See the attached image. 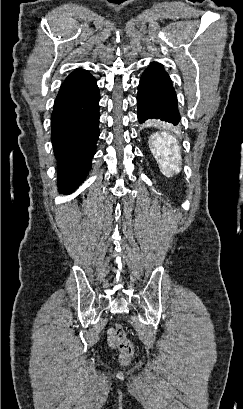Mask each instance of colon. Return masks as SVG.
<instances>
[{
	"label": "colon",
	"mask_w": 243,
	"mask_h": 409,
	"mask_svg": "<svg viewBox=\"0 0 243 409\" xmlns=\"http://www.w3.org/2000/svg\"><path fill=\"white\" fill-rule=\"evenodd\" d=\"M114 337L121 352L120 360L122 363L127 364L134 355V346L127 339L125 331L121 325L116 326L114 330Z\"/></svg>",
	"instance_id": "obj_1"
}]
</instances>
